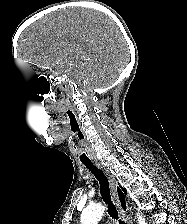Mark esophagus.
<instances>
[{
	"instance_id": "obj_1",
	"label": "esophagus",
	"mask_w": 187,
	"mask_h": 224,
	"mask_svg": "<svg viewBox=\"0 0 187 224\" xmlns=\"http://www.w3.org/2000/svg\"><path fill=\"white\" fill-rule=\"evenodd\" d=\"M94 164L99 169H101L102 172L106 175V177L109 181L110 192H111L113 203L117 207V209H118L119 213L121 214L123 220L126 222V224H132L131 218L129 217V215H127V213L121 207V202H120V199H119V196H118V191H117V183H116V180H115L114 176L111 174V172L108 170V168L106 166H104L102 163L94 162Z\"/></svg>"
}]
</instances>
